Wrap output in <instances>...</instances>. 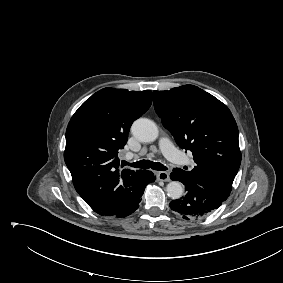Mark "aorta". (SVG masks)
Returning a JSON list of instances; mask_svg holds the SVG:
<instances>
[{
	"instance_id": "762f6f07",
	"label": "aorta",
	"mask_w": 283,
	"mask_h": 283,
	"mask_svg": "<svg viewBox=\"0 0 283 283\" xmlns=\"http://www.w3.org/2000/svg\"><path fill=\"white\" fill-rule=\"evenodd\" d=\"M131 132L141 142H153L158 137V127L150 119L139 118L132 124ZM167 194L172 199H179L184 192L183 186L178 181H172L166 186Z\"/></svg>"
}]
</instances>
